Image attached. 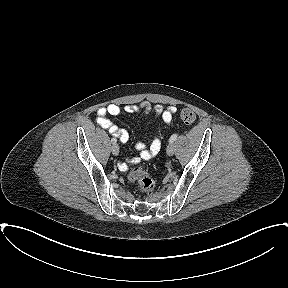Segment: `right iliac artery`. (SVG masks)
Here are the masks:
<instances>
[{"label":"right iliac artery","mask_w":288,"mask_h":288,"mask_svg":"<svg viewBox=\"0 0 288 288\" xmlns=\"http://www.w3.org/2000/svg\"><path fill=\"white\" fill-rule=\"evenodd\" d=\"M111 142H112L113 144H115V143L117 142L116 138H112V139H111Z\"/></svg>","instance_id":"right-iliac-artery-1"}]
</instances>
